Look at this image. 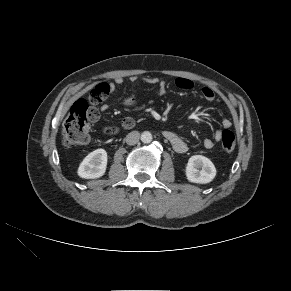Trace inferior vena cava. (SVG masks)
Listing matches in <instances>:
<instances>
[{
    "instance_id": "obj_1",
    "label": "inferior vena cava",
    "mask_w": 291,
    "mask_h": 291,
    "mask_svg": "<svg viewBox=\"0 0 291 291\" xmlns=\"http://www.w3.org/2000/svg\"><path fill=\"white\" fill-rule=\"evenodd\" d=\"M139 138H140L139 132L132 131L126 136L125 141L128 145H135L136 143H138Z\"/></svg>"
}]
</instances>
